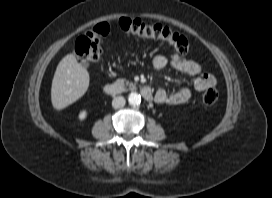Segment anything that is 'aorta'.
Returning a JSON list of instances; mask_svg holds the SVG:
<instances>
[{"mask_svg":"<svg viewBox=\"0 0 272 198\" xmlns=\"http://www.w3.org/2000/svg\"><path fill=\"white\" fill-rule=\"evenodd\" d=\"M128 102L133 106L139 105L141 102V95L136 92L130 93L128 96Z\"/></svg>","mask_w":272,"mask_h":198,"instance_id":"obj_1","label":"aorta"}]
</instances>
